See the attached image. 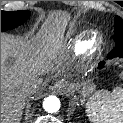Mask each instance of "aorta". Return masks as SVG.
Wrapping results in <instances>:
<instances>
[{"mask_svg": "<svg viewBox=\"0 0 123 123\" xmlns=\"http://www.w3.org/2000/svg\"><path fill=\"white\" fill-rule=\"evenodd\" d=\"M43 108L48 113H55L60 109V100L56 96H48L43 101Z\"/></svg>", "mask_w": 123, "mask_h": 123, "instance_id": "obj_1", "label": "aorta"}]
</instances>
